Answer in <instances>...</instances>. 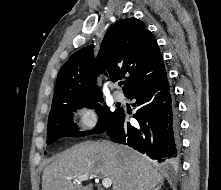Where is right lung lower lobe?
<instances>
[{"mask_svg": "<svg viewBox=\"0 0 221 190\" xmlns=\"http://www.w3.org/2000/svg\"><path fill=\"white\" fill-rule=\"evenodd\" d=\"M136 99L132 126L121 109L106 133L117 143L128 145L165 166H175L179 160L180 140L176 104L167 73L126 95Z\"/></svg>", "mask_w": 221, "mask_h": 190, "instance_id": "98d812e1", "label": "right lung lower lobe"}]
</instances>
